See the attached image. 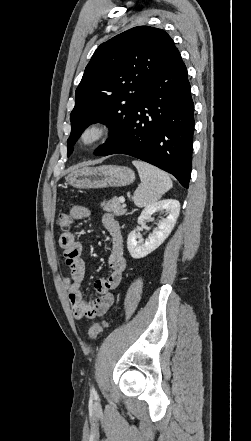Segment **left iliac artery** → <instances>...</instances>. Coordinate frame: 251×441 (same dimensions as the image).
I'll use <instances>...</instances> for the list:
<instances>
[{
    "label": "left iliac artery",
    "mask_w": 251,
    "mask_h": 441,
    "mask_svg": "<svg viewBox=\"0 0 251 441\" xmlns=\"http://www.w3.org/2000/svg\"><path fill=\"white\" fill-rule=\"evenodd\" d=\"M91 393H92V394H95V393H96L95 388H94L93 386L91 387Z\"/></svg>",
    "instance_id": "left-iliac-artery-1"
}]
</instances>
